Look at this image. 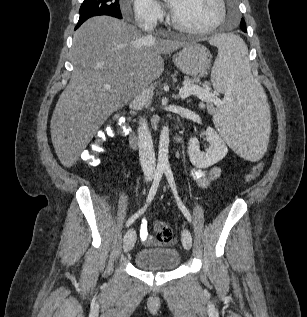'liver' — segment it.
Wrapping results in <instances>:
<instances>
[{"label": "liver", "mask_w": 307, "mask_h": 317, "mask_svg": "<svg viewBox=\"0 0 307 317\" xmlns=\"http://www.w3.org/2000/svg\"><path fill=\"white\" fill-rule=\"evenodd\" d=\"M183 46L181 40L148 41L135 26L113 17L87 20L74 34V69L50 124L60 162L73 166L109 116L162 75L161 54Z\"/></svg>", "instance_id": "liver-1"}]
</instances>
